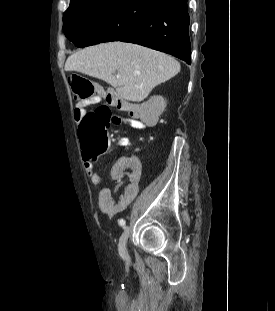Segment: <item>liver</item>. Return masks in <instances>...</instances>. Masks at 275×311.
Listing matches in <instances>:
<instances>
[{"label": "liver", "mask_w": 275, "mask_h": 311, "mask_svg": "<svg viewBox=\"0 0 275 311\" xmlns=\"http://www.w3.org/2000/svg\"><path fill=\"white\" fill-rule=\"evenodd\" d=\"M66 71H77L101 79L129 101L140 102L158 84L174 77L180 64L173 57L123 42L87 47L69 56ZM118 72L119 78L114 75Z\"/></svg>", "instance_id": "liver-1"}]
</instances>
